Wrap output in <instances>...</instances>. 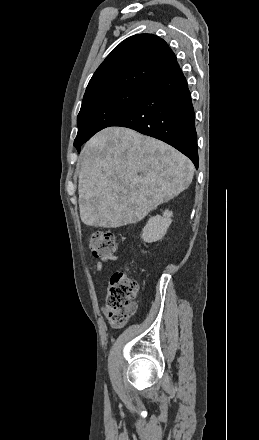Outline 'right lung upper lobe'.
I'll return each mask as SVG.
<instances>
[{"label": "right lung upper lobe", "instance_id": "cb5924a9", "mask_svg": "<svg viewBox=\"0 0 259 440\" xmlns=\"http://www.w3.org/2000/svg\"><path fill=\"white\" fill-rule=\"evenodd\" d=\"M176 65L175 54L160 37L153 34L131 36L122 41L95 71L82 104L120 89H149Z\"/></svg>", "mask_w": 259, "mask_h": 440}]
</instances>
